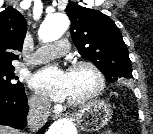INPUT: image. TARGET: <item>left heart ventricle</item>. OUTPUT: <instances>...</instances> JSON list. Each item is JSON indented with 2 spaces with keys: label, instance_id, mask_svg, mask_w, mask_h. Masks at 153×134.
Returning a JSON list of instances; mask_svg holds the SVG:
<instances>
[{
  "label": "left heart ventricle",
  "instance_id": "left-heart-ventricle-1",
  "mask_svg": "<svg viewBox=\"0 0 153 134\" xmlns=\"http://www.w3.org/2000/svg\"><path fill=\"white\" fill-rule=\"evenodd\" d=\"M69 91L67 100H78L89 94L96 85L94 74L87 68H78L68 72Z\"/></svg>",
  "mask_w": 153,
  "mask_h": 134
}]
</instances>
